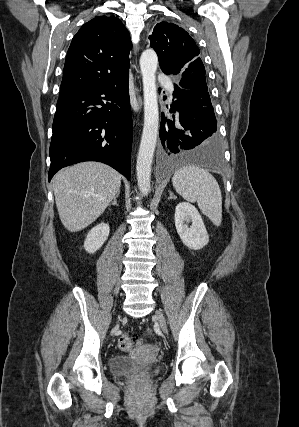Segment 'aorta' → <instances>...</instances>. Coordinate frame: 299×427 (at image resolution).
Listing matches in <instances>:
<instances>
[{"instance_id":"obj_1","label":"aorta","mask_w":299,"mask_h":427,"mask_svg":"<svg viewBox=\"0 0 299 427\" xmlns=\"http://www.w3.org/2000/svg\"><path fill=\"white\" fill-rule=\"evenodd\" d=\"M158 57L153 49L140 57L144 93V126L137 156L136 172L140 192L147 196L151 190V167L159 128L156 70Z\"/></svg>"}]
</instances>
